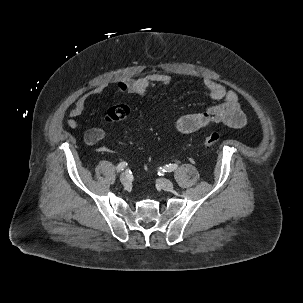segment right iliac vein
<instances>
[{
    "instance_id": "obj_1",
    "label": "right iliac vein",
    "mask_w": 303,
    "mask_h": 303,
    "mask_svg": "<svg viewBox=\"0 0 303 303\" xmlns=\"http://www.w3.org/2000/svg\"><path fill=\"white\" fill-rule=\"evenodd\" d=\"M120 182L123 184V185H128L130 183V179L128 177V175L126 173H122L121 176H120Z\"/></svg>"
}]
</instances>
